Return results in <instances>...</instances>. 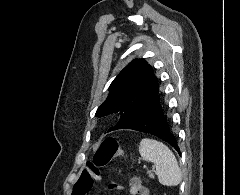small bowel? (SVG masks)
<instances>
[{
  "instance_id": "1",
  "label": "small bowel",
  "mask_w": 240,
  "mask_h": 195,
  "mask_svg": "<svg viewBox=\"0 0 240 195\" xmlns=\"http://www.w3.org/2000/svg\"><path fill=\"white\" fill-rule=\"evenodd\" d=\"M115 190L120 191L122 190V187L115 186ZM129 192L131 195H150L149 189L142 184L138 177H132L129 180Z\"/></svg>"
}]
</instances>
